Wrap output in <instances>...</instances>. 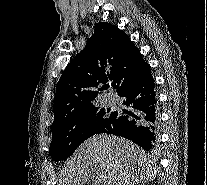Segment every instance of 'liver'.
<instances>
[{"label":"liver","mask_w":207,"mask_h":185,"mask_svg":"<svg viewBox=\"0 0 207 185\" xmlns=\"http://www.w3.org/2000/svg\"><path fill=\"white\" fill-rule=\"evenodd\" d=\"M146 151L116 135H94L66 161L62 185H139L151 179L153 169Z\"/></svg>","instance_id":"1"}]
</instances>
